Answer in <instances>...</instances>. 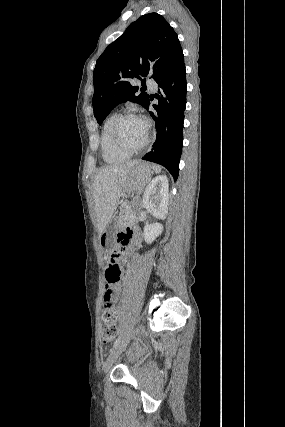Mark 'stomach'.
Returning a JSON list of instances; mask_svg holds the SVG:
<instances>
[{"instance_id": "0dacf381", "label": "stomach", "mask_w": 285, "mask_h": 427, "mask_svg": "<svg viewBox=\"0 0 285 427\" xmlns=\"http://www.w3.org/2000/svg\"><path fill=\"white\" fill-rule=\"evenodd\" d=\"M152 175L151 166L148 163L138 162L129 173L124 193L133 194L142 192ZM118 229L115 220H110L106 229L99 237V244L104 251H108L113 244V237Z\"/></svg>"}]
</instances>
